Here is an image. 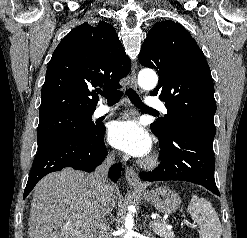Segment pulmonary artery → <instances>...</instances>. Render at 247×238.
Masks as SVG:
<instances>
[{"label": "pulmonary artery", "mask_w": 247, "mask_h": 238, "mask_svg": "<svg viewBox=\"0 0 247 238\" xmlns=\"http://www.w3.org/2000/svg\"><path fill=\"white\" fill-rule=\"evenodd\" d=\"M145 103L149 108H151L153 110L158 109V110H160L162 112H166L165 106L157 98L149 97V98L146 99ZM116 110H117V107H115V106L109 107L107 105H101L96 109L95 116L100 117V116H103V115H106V114H111V113L115 112Z\"/></svg>", "instance_id": "obj_1"}]
</instances>
